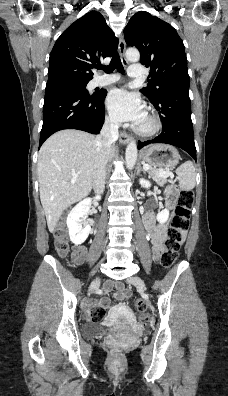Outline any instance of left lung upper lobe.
Listing matches in <instances>:
<instances>
[{"mask_svg": "<svg viewBox=\"0 0 228 396\" xmlns=\"http://www.w3.org/2000/svg\"><path fill=\"white\" fill-rule=\"evenodd\" d=\"M124 35L129 46L139 49L141 64L150 67L151 79L140 92L153 104L171 90L189 91L184 44L170 24L146 11H139L129 20Z\"/></svg>", "mask_w": 228, "mask_h": 396, "instance_id": "obj_1", "label": "left lung upper lobe"}]
</instances>
